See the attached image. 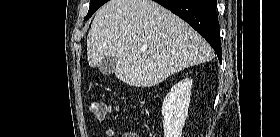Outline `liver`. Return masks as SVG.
Returning <instances> with one entry per match:
<instances>
[{"mask_svg":"<svg viewBox=\"0 0 280 137\" xmlns=\"http://www.w3.org/2000/svg\"><path fill=\"white\" fill-rule=\"evenodd\" d=\"M105 56L116 77L151 87L184 68L213 59L210 45L192 27L152 0H110L95 14L87 37L90 67Z\"/></svg>","mask_w":280,"mask_h":137,"instance_id":"6515ba94","label":"liver"}]
</instances>
